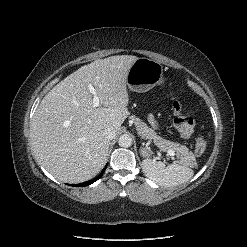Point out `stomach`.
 Wrapping results in <instances>:
<instances>
[{"mask_svg": "<svg viewBox=\"0 0 247 247\" xmlns=\"http://www.w3.org/2000/svg\"><path fill=\"white\" fill-rule=\"evenodd\" d=\"M163 66L149 58H138L131 66L127 75V86L134 92H146L154 86L164 85ZM143 155H148L142 150Z\"/></svg>", "mask_w": 247, "mask_h": 247, "instance_id": "obj_1", "label": "stomach"}]
</instances>
